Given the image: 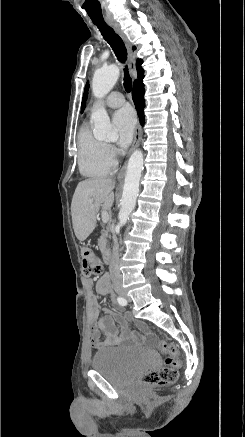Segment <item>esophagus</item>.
<instances>
[{"instance_id":"34e87169","label":"esophagus","mask_w":245,"mask_h":437,"mask_svg":"<svg viewBox=\"0 0 245 437\" xmlns=\"http://www.w3.org/2000/svg\"><path fill=\"white\" fill-rule=\"evenodd\" d=\"M108 23L124 41V43L128 49L129 69L133 73L135 71V56L132 52L131 45L128 42L127 37L125 36L123 31L121 30L120 26L116 22H108ZM141 137H142V129H141L140 123H138L136 128H135L134 139H133L131 149L129 151V155L139 146L140 141H141ZM125 169H126V162L124 163L123 167L121 168L120 172L118 173V179H121L123 177Z\"/></svg>"}]
</instances>
